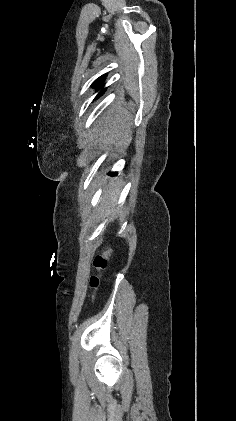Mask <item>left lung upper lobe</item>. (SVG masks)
<instances>
[{"mask_svg":"<svg viewBox=\"0 0 236 421\" xmlns=\"http://www.w3.org/2000/svg\"><path fill=\"white\" fill-rule=\"evenodd\" d=\"M105 77H106V74H105V75L100 76L99 78H97V79L93 82L92 87L97 88L98 90H99V89H101V88L103 87V85H104V84H103V81H104ZM105 90H106V89H102V90L99 92V94L96 96V98H98L99 96H101V95L105 92Z\"/></svg>","mask_w":236,"mask_h":421,"instance_id":"obj_1","label":"left lung upper lobe"}]
</instances>
